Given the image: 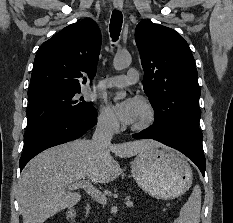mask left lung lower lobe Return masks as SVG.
<instances>
[{"mask_svg": "<svg viewBox=\"0 0 233 223\" xmlns=\"http://www.w3.org/2000/svg\"><path fill=\"white\" fill-rule=\"evenodd\" d=\"M133 138L154 139L182 152L197 165L204 176L206 160L202 146L203 134L199 127L189 125L173 127L153 125L140 133L133 134Z\"/></svg>", "mask_w": 233, "mask_h": 223, "instance_id": "obj_1", "label": "left lung lower lobe"}]
</instances>
